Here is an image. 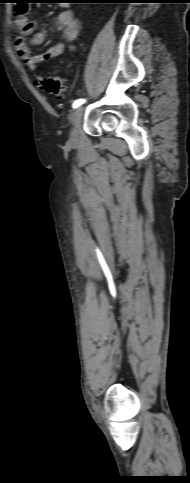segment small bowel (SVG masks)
Returning <instances> with one entry per match:
<instances>
[{
	"mask_svg": "<svg viewBox=\"0 0 190 483\" xmlns=\"http://www.w3.org/2000/svg\"><path fill=\"white\" fill-rule=\"evenodd\" d=\"M28 10L24 6L23 11L17 10L14 38V48L17 56L30 70H35L37 65L43 61L60 56L66 49V43H72L78 36L80 23L75 14L71 10H63L57 16V24L63 30V41L56 43L47 51L41 54H32L26 44L25 37L34 30V23L29 21ZM46 33L43 31L36 32L32 37L35 45H41L46 39ZM73 51V47L69 48Z\"/></svg>",
	"mask_w": 190,
	"mask_h": 483,
	"instance_id": "obj_1",
	"label": "small bowel"
}]
</instances>
